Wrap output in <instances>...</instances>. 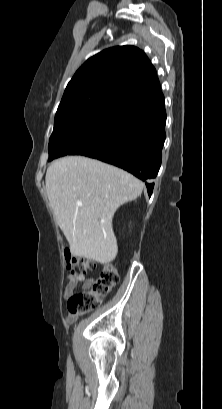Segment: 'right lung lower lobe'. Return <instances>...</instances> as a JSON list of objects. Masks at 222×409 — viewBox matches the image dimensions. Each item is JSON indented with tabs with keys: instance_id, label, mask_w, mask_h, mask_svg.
Instances as JSON below:
<instances>
[{
	"instance_id": "98d812e1",
	"label": "right lung lower lobe",
	"mask_w": 222,
	"mask_h": 409,
	"mask_svg": "<svg viewBox=\"0 0 222 409\" xmlns=\"http://www.w3.org/2000/svg\"><path fill=\"white\" fill-rule=\"evenodd\" d=\"M165 123L163 94L122 106L114 115L100 146L85 156L132 173L145 181L151 196L152 182L161 165Z\"/></svg>"
}]
</instances>
